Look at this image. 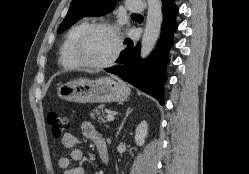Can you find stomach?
I'll return each mask as SVG.
<instances>
[{"label": "stomach", "mask_w": 249, "mask_h": 174, "mask_svg": "<svg viewBox=\"0 0 249 174\" xmlns=\"http://www.w3.org/2000/svg\"><path fill=\"white\" fill-rule=\"evenodd\" d=\"M57 93L64 100L77 103H110L125 101L130 89L115 77H101L69 81L60 85Z\"/></svg>", "instance_id": "1"}]
</instances>
